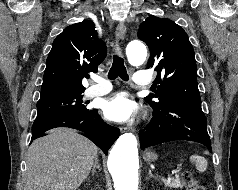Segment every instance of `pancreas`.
Wrapping results in <instances>:
<instances>
[{
    "label": "pancreas",
    "mask_w": 238,
    "mask_h": 190,
    "mask_svg": "<svg viewBox=\"0 0 238 190\" xmlns=\"http://www.w3.org/2000/svg\"><path fill=\"white\" fill-rule=\"evenodd\" d=\"M163 183H164L166 186L170 187V188H179V187H182V184H181L179 178H172V179H169V180L163 179Z\"/></svg>",
    "instance_id": "cf45deb5"
}]
</instances>
